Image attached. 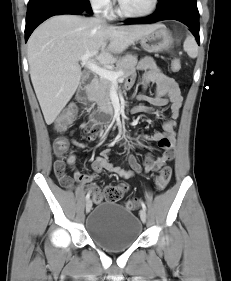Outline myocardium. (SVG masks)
<instances>
[{
    "instance_id": "obj_1",
    "label": "myocardium",
    "mask_w": 231,
    "mask_h": 281,
    "mask_svg": "<svg viewBox=\"0 0 231 281\" xmlns=\"http://www.w3.org/2000/svg\"><path fill=\"white\" fill-rule=\"evenodd\" d=\"M159 3H160L159 0H153L152 5L148 10L143 11V12H134V11H130V10L126 9L124 7L122 1L118 0V10L121 15L126 16V17L145 18V17L151 16L152 14H154L157 11V9L159 7Z\"/></svg>"
}]
</instances>
